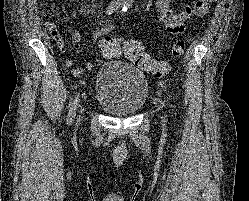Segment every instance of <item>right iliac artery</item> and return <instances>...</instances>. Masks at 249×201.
Returning <instances> with one entry per match:
<instances>
[{
  "label": "right iliac artery",
  "mask_w": 249,
  "mask_h": 201,
  "mask_svg": "<svg viewBox=\"0 0 249 201\" xmlns=\"http://www.w3.org/2000/svg\"><path fill=\"white\" fill-rule=\"evenodd\" d=\"M126 0H114L112 1L109 6L106 9V13L108 15L112 14L114 11H116L118 8L122 7L125 4ZM79 101V96L75 97V100L70 108L68 118H67V124H71L73 121V118L76 115V109Z\"/></svg>",
  "instance_id": "82829eb1"
}]
</instances>
